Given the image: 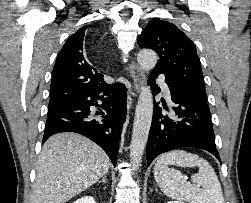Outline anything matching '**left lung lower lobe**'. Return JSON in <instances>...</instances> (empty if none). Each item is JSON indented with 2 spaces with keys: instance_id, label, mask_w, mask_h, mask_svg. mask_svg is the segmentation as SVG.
Listing matches in <instances>:
<instances>
[{
  "instance_id": "left-lung-lower-lobe-1",
  "label": "left lung lower lobe",
  "mask_w": 251,
  "mask_h": 203,
  "mask_svg": "<svg viewBox=\"0 0 251 203\" xmlns=\"http://www.w3.org/2000/svg\"><path fill=\"white\" fill-rule=\"evenodd\" d=\"M159 74L163 73L152 71L149 79L152 88H156L155 77ZM165 82L173 102L172 115L164 114L158 106L159 102L154 104L147 143V164L150 165L161 153L182 147L204 149L220 160L207 102L173 81L165 79ZM163 107L168 110L165 103Z\"/></svg>"
}]
</instances>
